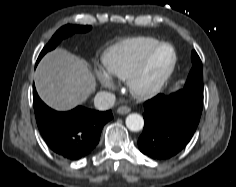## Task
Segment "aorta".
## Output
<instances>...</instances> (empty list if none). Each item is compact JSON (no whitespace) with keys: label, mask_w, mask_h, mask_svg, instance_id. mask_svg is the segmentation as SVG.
<instances>
[{"label":"aorta","mask_w":236,"mask_h":187,"mask_svg":"<svg viewBox=\"0 0 236 187\" xmlns=\"http://www.w3.org/2000/svg\"><path fill=\"white\" fill-rule=\"evenodd\" d=\"M125 122L127 128L134 132L142 130L144 126L143 117L137 113L129 114Z\"/></svg>","instance_id":"aorta-1"}]
</instances>
